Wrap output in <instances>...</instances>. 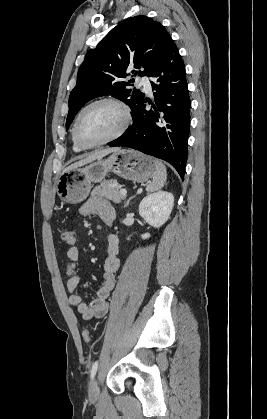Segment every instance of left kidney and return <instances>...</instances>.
<instances>
[{
    "mask_svg": "<svg viewBox=\"0 0 267 419\" xmlns=\"http://www.w3.org/2000/svg\"><path fill=\"white\" fill-rule=\"evenodd\" d=\"M174 206V196L170 192H157L143 198L139 205V214L144 220L155 228L161 227L170 217ZM148 239L149 233L141 235Z\"/></svg>",
    "mask_w": 267,
    "mask_h": 419,
    "instance_id": "1",
    "label": "left kidney"
}]
</instances>
